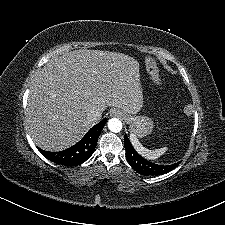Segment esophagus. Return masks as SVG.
<instances>
[{"label":"esophagus","mask_w":225,"mask_h":225,"mask_svg":"<svg viewBox=\"0 0 225 225\" xmlns=\"http://www.w3.org/2000/svg\"><path fill=\"white\" fill-rule=\"evenodd\" d=\"M111 116H115V117L121 118L123 116V113L120 110L113 109L111 111Z\"/></svg>","instance_id":"1"}]
</instances>
